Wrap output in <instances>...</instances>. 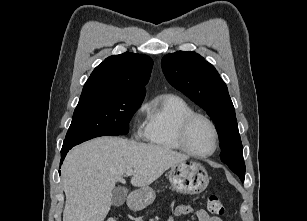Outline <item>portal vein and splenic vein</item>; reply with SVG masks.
<instances>
[{"instance_id":"obj_1","label":"portal vein and splenic vein","mask_w":307,"mask_h":221,"mask_svg":"<svg viewBox=\"0 0 307 221\" xmlns=\"http://www.w3.org/2000/svg\"><path fill=\"white\" fill-rule=\"evenodd\" d=\"M134 174V171H132V170H128L127 172H126V175L127 176H131V175H133Z\"/></svg>"}]
</instances>
